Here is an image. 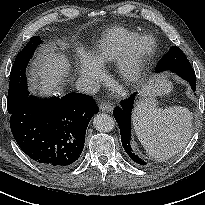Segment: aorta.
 <instances>
[{
	"mask_svg": "<svg viewBox=\"0 0 205 205\" xmlns=\"http://www.w3.org/2000/svg\"><path fill=\"white\" fill-rule=\"evenodd\" d=\"M93 125L100 132H110L115 126V121L110 115L102 113L94 117Z\"/></svg>",
	"mask_w": 205,
	"mask_h": 205,
	"instance_id": "obj_1",
	"label": "aorta"
}]
</instances>
